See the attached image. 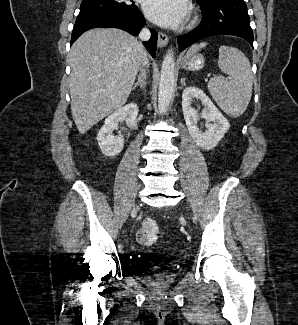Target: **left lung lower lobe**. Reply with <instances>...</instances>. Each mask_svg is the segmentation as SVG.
I'll list each match as a JSON object with an SVG mask.
<instances>
[{
  "label": "left lung lower lobe",
  "mask_w": 298,
  "mask_h": 325,
  "mask_svg": "<svg viewBox=\"0 0 298 325\" xmlns=\"http://www.w3.org/2000/svg\"><path fill=\"white\" fill-rule=\"evenodd\" d=\"M202 7V22L186 35L178 37L179 51L215 35H234L253 47V32L244 0H216Z\"/></svg>",
  "instance_id": "1"
}]
</instances>
